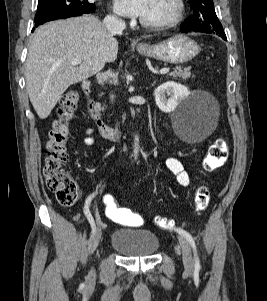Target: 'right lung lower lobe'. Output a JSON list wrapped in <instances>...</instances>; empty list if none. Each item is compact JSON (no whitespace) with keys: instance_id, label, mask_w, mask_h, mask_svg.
I'll return each instance as SVG.
<instances>
[{"instance_id":"98d812e1","label":"right lung lower lobe","mask_w":267,"mask_h":301,"mask_svg":"<svg viewBox=\"0 0 267 301\" xmlns=\"http://www.w3.org/2000/svg\"><path fill=\"white\" fill-rule=\"evenodd\" d=\"M82 14H88V13H77V14L61 13V14L50 15V16L46 17L45 19H42L38 22H35V27H37L41 24H44L45 22H48V21H52V20H56V19H62V18H68V17H71V16H79V15H82Z\"/></svg>"}]
</instances>
